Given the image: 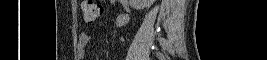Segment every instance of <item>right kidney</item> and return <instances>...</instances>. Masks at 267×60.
<instances>
[{
	"label": "right kidney",
	"mask_w": 267,
	"mask_h": 60,
	"mask_svg": "<svg viewBox=\"0 0 267 60\" xmlns=\"http://www.w3.org/2000/svg\"><path fill=\"white\" fill-rule=\"evenodd\" d=\"M154 2L155 0H129L130 6L137 10L149 8Z\"/></svg>",
	"instance_id": "1"
}]
</instances>
